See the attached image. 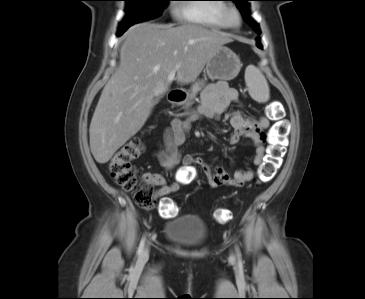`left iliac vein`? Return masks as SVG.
I'll return each mask as SVG.
<instances>
[{
    "label": "left iliac vein",
    "mask_w": 365,
    "mask_h": 299,
    "mask_svg": "<svg viewBox=\"0 0 365 299\" xmlns=\"http://www.w3.org/2000/svg\"><path fill=\"white\" fill-rule=\"evenodd\" d=\"M231 259H232V260L234 259V256H233V255L231 256Z\"/></svg>",
    "instance_id": "obj_1"
}]
</instances>
